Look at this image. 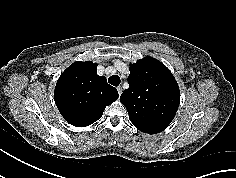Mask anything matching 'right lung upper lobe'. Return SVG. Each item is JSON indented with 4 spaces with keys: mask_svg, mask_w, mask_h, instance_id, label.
Returning a JSON list of instances; mask_svg holds the SVG:
<instances>
[{
    "mask_svg": "<svg viewBox=\"0 0 236 178\" xmlns=\"http://www.w3.org/2000/svg\"><path fill=\"white\" fill-rule=\"evenodd\" d=\"M97 64L77 61L59 77L54 100L64 119L77 127L99 120L105 107L118 98V91L96 73Z\"/></svg>",
    "mask_w": 236,
    "mask_h": 178,
    "instance_id": "right-lung-upper-lobe-1",
    "label": "right lung upper lobe"
}]
</instances>
